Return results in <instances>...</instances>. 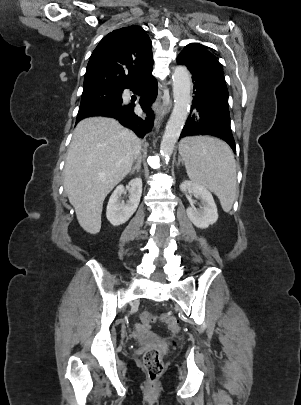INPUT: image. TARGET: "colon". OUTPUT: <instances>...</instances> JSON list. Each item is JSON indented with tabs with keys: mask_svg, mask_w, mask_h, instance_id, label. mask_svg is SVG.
Masks as SVG:
<instances>
[{
	"mask_svg": "<svg viewBox=\"0 0 301 405\" xmlns=\"http://www.w3.org/2000/svg\"><path fill=\"white\" fill-rule=\"evenodd\" d=\"M157 318L156 315L150 312H143L140 314V321L145 326L153 324ZM159 319L166 322L173 331L176 332L178 330V322L174 317L163 314L159 316ZM176 344V340H173L172 345L176 346ZM142 362L149 382L154 383L164 369L162 352L158 348H151L144 353Z\"/></svg>",
	"mask_w": 301,
	"mask_h": 405,
	"instance_id": "1",
	"label": "colon"
}]
</instances>
